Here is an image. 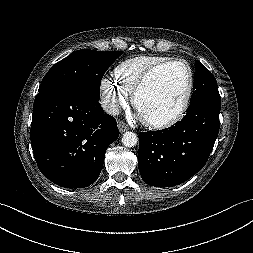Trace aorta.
Returning a JSON list of instances; mask_svg holds the SVG:
<instances>
[{
    "label": "aorta",
    "instance_id": "aorta-1",
    "mask_svg": "<svg viewBox=\"0 0 253 253\" xmlns=\"http://www.w3.org/2000/svg\"><path fill=\"white\" fill-rule=\"evenodd\" d=\"M138 142L137 135L134 132H125L122 137V143L126 147H134Z\"/></svg>",
    "mask_w": 253,
    "mask_h": 253
}]
</instances>
